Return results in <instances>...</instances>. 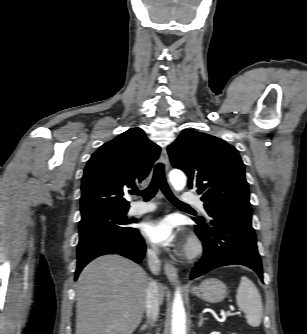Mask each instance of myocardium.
Wrapping results in <instances>:
<instances>
[{"label":"myocardium","mask_w":307,"mask_h":334,"mask_svg":"<svg viewBox=\"0 0 307 334\" xmlns=\"http://www.w3.org/2000/svg\"><path fill=\"white\" fill-rule=\"evenodd\" d=\"M203 251V244L199 238L192 236L189 238L187 245L184 249V256L188 259H194L198 257Z\"/></svg>","instance_id":"obj_1"}]
</instances>
